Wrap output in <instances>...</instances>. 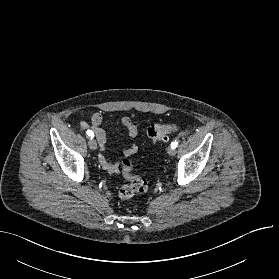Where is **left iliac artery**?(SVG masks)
<instances>
[{"instance_id": "obj_1", "label": "left iliac artery", "mask_w": 279, "mask_h": 279, "mask_svg": "<svg viewBox=\"0 0 279 279\" xmlns=\"http://www.w3.org/2000/svg\"><path fill=\"white\" fill-rule=\"evenodd\" d=\"M177 146H178V142L177 141L171 143V147L172 148L175 149Z\"/></svg>"}]
</instances>
